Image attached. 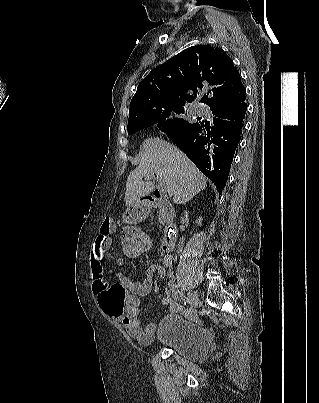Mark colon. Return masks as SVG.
Wrapping results in <instances>:
<instances>
[{"instance_id":"5ec220e1","label":"colon","mask_w":319,"mask_h":403,"mask_svg":"<svg viewBox=\"0 0 319 403\" xmlns=\"http://www.w3.org/2000/svg\"><path fill=\"white\" fill-rule=\"evenodd\" d=\"M121 243L124 260H141L142 254H152L154 249V240L145 234L144 226H125Z\"/></svg>"}]
</instances>
